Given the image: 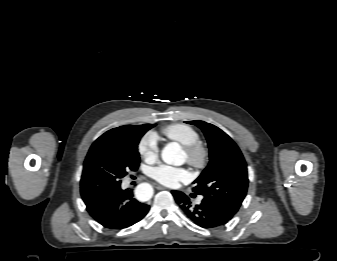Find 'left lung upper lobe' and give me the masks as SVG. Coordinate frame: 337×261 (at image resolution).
<instances>
[{"instance_id": "obj_1", "label": "left lung upper lobe", "mask_w": 337, "mask_h": 261, "mask_svg": "<svg viewBox=\"0 0 337 261\" xmlns=\"http://www.w3.org/2000/svg\"><path fill=\"white\" fill-rule=\"evenodd\" d=\"M198 126L208 142L210 162L193 182L197 194L236 214L246 196L247 166L235 142L218 127L204 121L187 122Z\"/></svg>"}]
</instances>
